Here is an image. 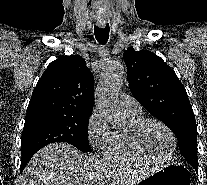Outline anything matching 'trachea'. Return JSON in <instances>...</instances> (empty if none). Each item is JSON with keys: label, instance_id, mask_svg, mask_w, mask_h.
<instances>
[{"label": "trachea", "instance_id": "trachea-1", "mask_svg": "<svg viewBox=\"0 0 207 185\" xmlns=\"http://www.w3.org/2000/svg\"><path fill=\"white\" fill-rule=\"evenodd\" d=\"M94 33L96 40L104 45V43H107L109 38V25L107 24L105 28L95 27Z\"/></svg>", "mask_w": 207, "mask_h": 185}]
</instances>
